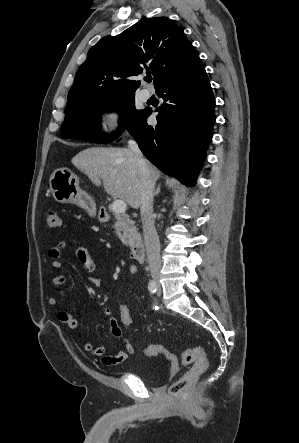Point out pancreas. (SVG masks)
Segmentation results:
<instances>
[{"label": "pancreas", "instance_id": "cf45deb5", "mask_svg": "<svg viewBox=\"0 0 299 443\" xmlns=\"http://www.w3.org/2000/svg\"><path fill=\"white\" fill-rule=\"evenodd\" d=\"M112 210V208H111ZM113 212V210H112ZM116 219L114 228L116 235L124 245L130 244L135 238L139 237L135 222L128 215L113 212Z\"/></svg>", "mask_w": 299, "mask_h": 443}]
</instances>
